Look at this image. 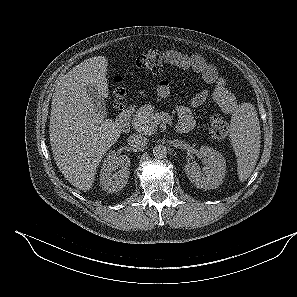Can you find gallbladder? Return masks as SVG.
<instances>
[{"instance_id": "obj_1", "label": "gallbladder", "mask_w": 297, "mask_h": 297, "mask_svg": "<svg viewBox=\"0 0 297 297\" xmlns=\"http://www.w3.org/2000/svg\"><path fill=\"white\" fill-rule=\"evenodd\" d=\"M87 95L91 98L94 105L97 107L98 111L103 115H107L106 104L103 96L97 89V87L92 86L90 84L86 85Z\"/></svg>"}]
</instances>
